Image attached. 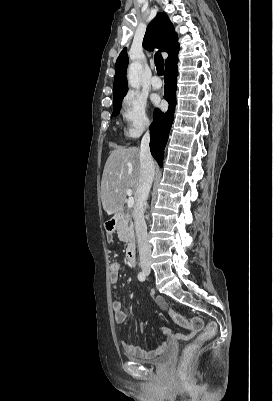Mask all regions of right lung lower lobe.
Returning a JSON list of instances; mask_svg holds the SVG:
<instances>
[{"instance_id": "right-lung-lower-lobe-1", "label": "right lung lower lobe", "mask_w": 273, "mask_h": 401, "mask_svg": "<svg viewBox=\"0 0 273 401\" xmlns=\"http://www.w3.org/2000/svg\"><path fill=\"white\" fill-rule=\"evenodd\" d=\"M177 62H173L165 68V95L164 98L169 102V109L166 113L159 110L155 111L154 121L150 127L151 142L150 150L153 157L162 167L165 145L168 140L171 125L174 120L176 106L177 89Z\"/></svg>"}]
</instances>
